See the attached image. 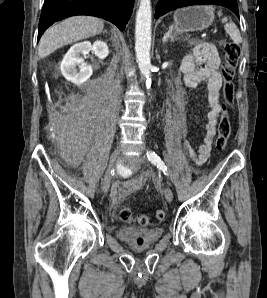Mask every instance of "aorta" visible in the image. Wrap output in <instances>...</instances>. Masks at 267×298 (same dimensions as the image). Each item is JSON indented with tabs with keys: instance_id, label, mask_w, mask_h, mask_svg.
Here are the masks:
<instances>
[{
	"instance_id": "762f6f07",
	"label": "aorta",
	"mask_w": 267,
	"mask_h": 298,
	"mask_svg": "<svg viewBox=\"0 0 267 298\" xmlns=\"http://www.w3.org/2000/svg\"><path fill=\"white\" fill-rule=\"evenodd\" d=\"M151 23L152 11L150 0H140L139 9L136 15L135 26V52L138 66L142 75L146 78V86H151Z\"/></svg>"
}]
</instances>
